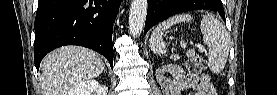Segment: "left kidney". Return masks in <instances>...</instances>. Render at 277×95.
Listing matches in <instances>:
<instances>
[{
  "instance_id": "left-kidney-1",
  "label": "left kidney",
  "mask_w": 277,
  "mask_h": 95,
  "mask_svg": "<svg viewBox=\"0 0 277 95\" xmlns=\"http://www.w3.org/2000/svg\"><path fill=\"white\" fill-rule=\"evenodd\" d=\"M168 71L170 73L173 72L172 66H163L159 68L156 72V78L159 84L162 87V90L165 93H180L182 90L181 82L179 81H172L164 76V72Z\"/></svg>"
}]
</instances>
